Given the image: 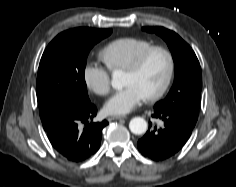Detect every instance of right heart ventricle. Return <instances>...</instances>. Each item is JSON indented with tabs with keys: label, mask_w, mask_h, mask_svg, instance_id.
Wrapping results in <instances>:
<instances>
[{
	"label": "right heart ventricle",
	"mask_w": 236,
	"mask_h": 187,
	"mask_svg": "<svg viewBox=\"0 0 236 187\" xmlns=\"http://www.w3.org/2000/svg\"><path fill=\"white\" fill-rule=\"evenodd\" d=\"M152 46L150 41L141 38H118L108 43L99 57L111 71L126 70L140 53Z\"/></svg>",
	"instance_id": "1"
}]
</instances>
